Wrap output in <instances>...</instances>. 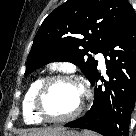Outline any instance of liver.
I'll use <instances>...</instances> for the list:
<instances>
[{"instance_id":"obj_1","label":"liver","mask_w":136,"mask_h":136,"mask_svg":"<svg viewBox=\"0 0 136 136\" xmlns=\"http://www.w3.org/2000/svg\"><path fill=\"white\" fill-rule=\"evenodd\" d=\"M64 130L63 128H46V129H32L28 131L24 136H53L60 131Z\"/></svg>"}]
</instances>
